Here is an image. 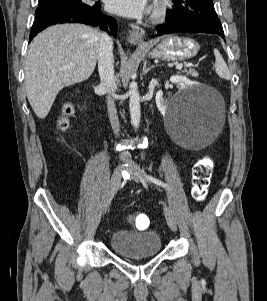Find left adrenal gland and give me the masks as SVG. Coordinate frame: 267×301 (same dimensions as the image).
I'll use <instances>...</instances> for the list:
<instances>
[{"mask_svg":"<svg viewBox=\"0 0 267 301\" xmlns=\"http://www.w3.org/2000/svg\"><path fill=\"white\" fill-rule=\"evenodd\" d=\"M154 66H150L147 68V60L144 61L143 65V75H146Z\"/></svg>","mask_w":267,"mask_h":301,"instance_id":"left-adrenal-gland-1","label":"left adrenal gland"}]
</instances>
